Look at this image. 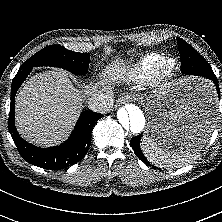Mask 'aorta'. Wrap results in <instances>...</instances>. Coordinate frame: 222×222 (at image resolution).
I'll return each instance as SVG.
<instances>
[{
	"label": "aorta",
	"instance_id": "762f6f07",
	"mask_svg": "<svg viewBox=\"0 0 222 222\" xmlns=\"http://www.w3.org/2000/svg\"><path fill=\"white\" fill-rule=\"evenodd\" d=\"M117 118L120 126L125 132L138 134L145 126L143 111L134 104H127L117 111Z\"/></svg>",
	"mask_w": 222,
	"mask_h": 222
}]
</instances>
